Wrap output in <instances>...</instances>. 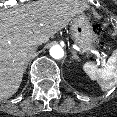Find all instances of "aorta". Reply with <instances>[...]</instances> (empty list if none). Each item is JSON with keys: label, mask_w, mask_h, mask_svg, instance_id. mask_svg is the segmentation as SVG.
Returning a JSON list of instances; mask_svg holds the SVG:
<instances>
[{"label": "aorta", "mask_w": 117, "mask_h": 117, "mask_svg": "<svg viewBox=\"0 0 117 117\" xmlns=\"http://www.w3.org/2000/svg\"><path fill=\"white\" fill-rule=\"evenodd\" d=\"M49 53H50V56L56 60L62 59L64 56V50L59 45L52 46L49 50Z\"/></svg>", "instance_id": "762f6f07"}]
</instances>
